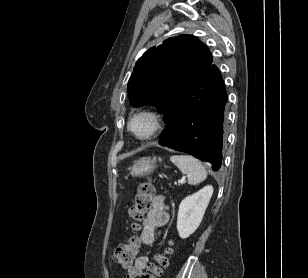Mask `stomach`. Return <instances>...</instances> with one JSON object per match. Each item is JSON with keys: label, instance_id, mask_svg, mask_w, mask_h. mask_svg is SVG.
<instances>
[{"label": "stomach", "instance_id": "0dacf381", "mask_svg": "<svg viewBox=\"0 0 308 278\" xmlns=\"http://www.w3.org/2000/svg\"><path fill=\"white\" fill-rule=\"evenodd\" d=\"M155 162L156 160H152L151 158H141L135 161L131 167V175L137 177L150 174L155 169Z\"/></svg>", "mask_w": 308, "mask_h": 278}]
</instances>
